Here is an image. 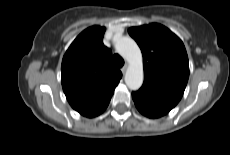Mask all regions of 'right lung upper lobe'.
I'll return each mask as SVG.
<instances>
[{"instance_id": "1", "label": "right lung upper lobe", "mask_w": 230, "mask_h": 155, "mask_svg": "<svg viewBox=\"0 0 230 155\" xmlns=\"http://www.w3.org/2000/svg\"><path fill=\"white\" fill-rule=\"evenodd\" d=\"M105 27L84 30L66 51L61 82L73 109L85 117L100 115L107 108L122 73L112 63V52L103 44Z\"/></svg>"}]
</instances>
